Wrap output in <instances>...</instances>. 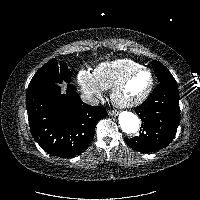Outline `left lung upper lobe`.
I'll return each instance as SVG.
<instances>
[{"label":"left lung upper lobe","mask_w":200,"mask_h":200,"mask_svg":"<svg viewBox=\"0 0 200 200\" xmlns=\"http://www.w3.org/2000/svg\"><path fill=\"white\" fill-rule=\"evenodd\" d=\"M152 66L156 73L159 83L161 82L176 83V80L174 79L172 74L169 72V70L160 62L153 61Z\"/></svg>","instance_id":"left-lung-upper-lobe-1"}]
</instances>
